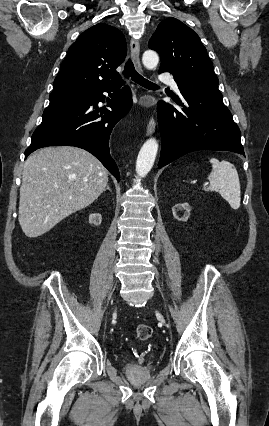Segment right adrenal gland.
<instances>
[{"label":"right adrenal gland","instance_id":"2a0ac1e0","mask_svg":"<svg viewBox=\"0 0 269 426\" xmlns=\"http://www.w3.org/2000/svg\"><path fill=\"white\" fill-rule=\"evenodd\" d=\"M106 190H109V191H111V189H110L109 185H107V188H106Z\"/></svg>","mask_w":269,"mask_h":426}]
</instances>
